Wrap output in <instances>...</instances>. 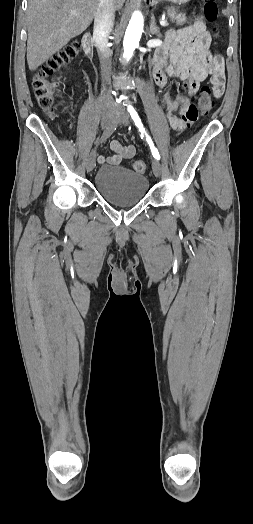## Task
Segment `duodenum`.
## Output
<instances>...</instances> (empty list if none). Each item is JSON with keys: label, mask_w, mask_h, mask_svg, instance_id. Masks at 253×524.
<instances>
[{"label": "duodenum", "mask_w": 253, "mask_h": 524, "mask_svg": "<svg viewBox=\"0 0 253 524\" xmlns=\"http://www.w3.org/2000/svg\"><path fill=\"white\" fill-rule=\"evenodd\" d=\"M82 42H83V47H84V51H85L86 55L88 57H91L92 53H93V47H92V43H91V35H90V33L87 32V33H85L83 35Z\"/></svg>", "instance_id": "duodenum-1"}]
</instances>
